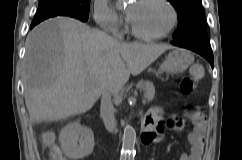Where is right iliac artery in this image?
I'll return each instance as SVG.
<instances>
[{"label":"right iliac artery","mask_w":242,"mask_h":160,"mask_svg":"<svg viewBox=\"0 0 242 160\" xmlns=\"http://www.w3.org/2000/svg\"><path fill=\"white\" fill-rule=\"evenodd\" d=\"M120 160H126V158H120Z\"/></svg>","instance_id":"right-iliac-artery-1"}]
</instances>
